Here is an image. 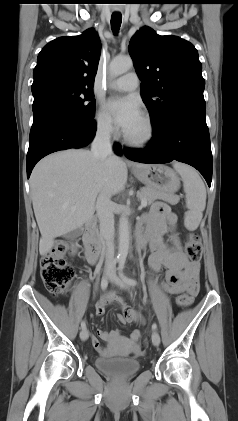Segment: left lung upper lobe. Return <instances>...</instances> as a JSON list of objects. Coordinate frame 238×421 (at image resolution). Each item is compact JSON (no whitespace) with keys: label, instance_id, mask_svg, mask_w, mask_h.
Instances as JSON below:
<instances>
[{"label":"left lung upper lobe","instance_id":"5c2ea615","mask_svg":"<svg viewBox=\"0 0 238 421\" xmlns=\"http://www.w3.org/2000/svg\"><path fill=\"white\" fill-rule=\"evenodd\" d=\"M129 53L142 80L141 94L154 128L180 107L205 104L202 66L190 42L143 27L131 38Z\"/></svg>","mask_w":238,"mask_h":421}]
</instances>
